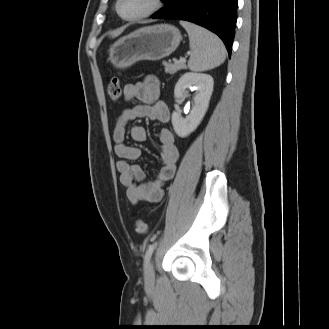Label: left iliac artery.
I'll return each instance as SVG.
<instances>
[{
	"instance_id": "44dca946",
	"label": "left iliac artery",
	"mask_w": 329,
	"mask_h": 329,
	"mask_svg": "<svg viewBox=\"0 0 329 329\" xmlns=\"http://www.w3.org/2000/svg\"><path fill=\"white\" fill-rule=\"evenodd\" d=\"M156 245H157V242L152 243V244L148 247V249H147V251H146L145 258H144V267H145V268L147 267V265H148V263H149V261H150V258H151L152 254H153V251H154Z\"/></svg>"
}]
</instances>
